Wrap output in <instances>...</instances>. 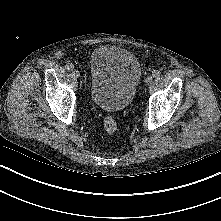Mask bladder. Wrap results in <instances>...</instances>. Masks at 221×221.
<instances>
[{
  "label": "bladder",
  "instance_id": "1",
  "mask_svg": "<svg viewBox=\"0 0 221 221\" xmlns=\"http://www.w3.org/2000/svg\"><path fill=\"white\" fill-rule=\"evenodd\" d=\"M141 76L133 53L118 46L99 47L90 58V100L106 112L124 110L134 100Z\"/></svg>",
  "mask_w": 221,
  "mask_h": 221
}]
</instances>
